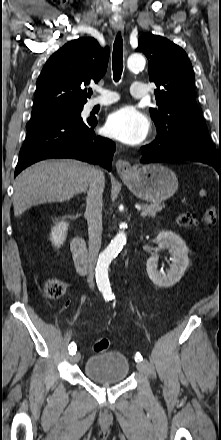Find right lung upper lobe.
I'll return each instance as SVG.
<instances>
[{
	"mask_svg": "<svg viewBox=\"0 0 221 440\" xmlns=\"http://www.w3.org/2000/svg\"><path fill=\"white\" fill-rule=\"evenodd\" d=\"M109 48L84 37L66 43L45 64L37 81L33 111L83 106L88 94L83 87L105 74Z\"/></svg>",
	"mask_w": 221,
	"mask_h": 440,
	"instance_id": "obj_1",
	"label": "right lung upper lobe"
}]
</instances>
